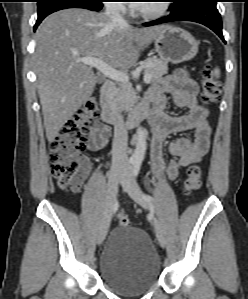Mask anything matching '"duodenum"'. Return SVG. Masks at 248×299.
<instances>
[{
    "label": "duodenum",
    "instance_id": "obj_1",
    "mask_svg": "<svg viewBox=\"0 0 248 299\" xmlns=\"http://www.w3.org/2000/svg\"><path fill=\"white\" fill-rule=\"evenodd\" d=\"M114 92V84L110 81L105 82L99 93V105L101 109V119L103 122L116 125L119 123L117 111L112 103V95ZM150 107L147 102L136 104L127 119V125L134 127L142 120L149 117Z\"/></svg>",
    "mask_w": 248,
    "mask_h": 299
}]
</instances>
